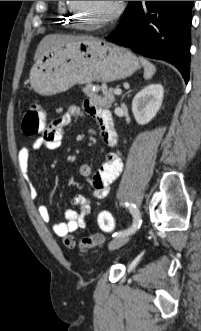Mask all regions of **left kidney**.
Segmentation results:
<instances>
[{
  "label": "left kidney",
  "mask_w": 201,
  "mask_h": 331,
  "mask_svg": "<svg viewBox=\"0 0 201 331\" xmlns=\"http://www.w3.org/2000/svg\"><path fill=\"white\" fill-rule=\"evenodd\" d=\"M164 89L161 84H150L136 94L132 101V112L140 125L149 123L159 111Z\"/></svg>",
  "instance_id": "1"
}]
</instances>
